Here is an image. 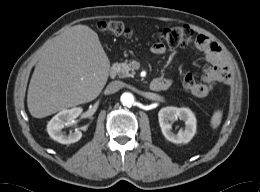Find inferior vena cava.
<instances>
[{
  "label": "inferior vena cava",
  "mask_w": 260,
  "mask_h": 192,
  "mask_svg": "<svg viewBox=\"0 0 260 192\" xmlns=\"http://www.w3.org/2000/svg\"><path fill=\"white\" fill-rule=\"evenodd\" d=\"M123 86H124L123 82H121V81H112L109 83V85L105 89V93L106 94L115 93V92L119 91L120 89H122Z\"/></svg>",
  "instance_id": "inferior-vena-cava-1"
}]
</instances>
